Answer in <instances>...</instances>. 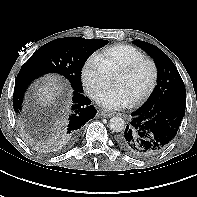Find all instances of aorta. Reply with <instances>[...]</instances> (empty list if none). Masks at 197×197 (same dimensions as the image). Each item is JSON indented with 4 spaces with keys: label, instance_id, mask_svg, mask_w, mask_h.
Segmentation results:
<instances>
[{
    "label": "aorta",
    "instance_id": "762f6f07",
    "mask_svg": "<svg viewBox=\"0 0 197 197\" xmlns=\"http://www.w3.org/2000/svg\"><path fill=\"white\" fill-rule=\"evenodd\" d=\"M109 126L113 132H121L125 128V121L121 117H112Z\"/></svg>",
    "mask_w": 197,
    "mask_h": 197
}]
</instances>
